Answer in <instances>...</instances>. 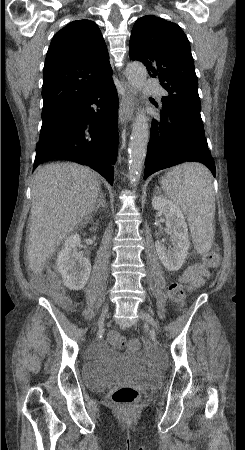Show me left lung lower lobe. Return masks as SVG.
<instances>
[{
    "label": "left lung lower lobe",
    "mask_w": 245,
    "mask_h": 450,
    "mask_svg": "<svg viewBox=\"0 0 245 450\" xmlns=\"http://www.w3.org/2000/svg\"><path fill=\"white\" fill-rule=\"evenodd\" d=\"M186 161L204 163L215 176V163L205 132L179 112L160 111L153 119L144 179L164 168Z\"/></svg>",
    "instance_id": "left-lung-lower-lobe-1"
}]
</instances>
